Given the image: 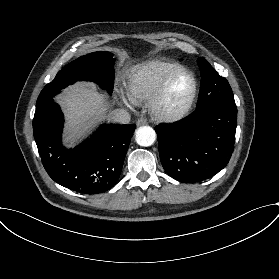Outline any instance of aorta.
Returning a JSON list of instances; mask_svg holds the SVG:
<instances>
[{"label": "aorta", "mask_w": 279, "mask_h": 279, "mask_svg": "<svg viewBox=\"0 0 279 279\" xmlns=\"http://www.w3.org/2000/svg\"><path fill=\"white\" fill-rule=\"evenodd\" d=\"M136 142L140 146H151L156 140V132L150 126L139 127L136 131Z\"/></svg>", "instance_id": "obj_1"}]
</instances>
